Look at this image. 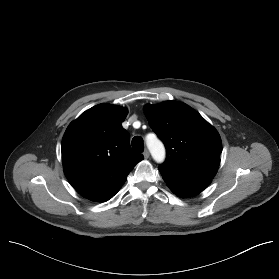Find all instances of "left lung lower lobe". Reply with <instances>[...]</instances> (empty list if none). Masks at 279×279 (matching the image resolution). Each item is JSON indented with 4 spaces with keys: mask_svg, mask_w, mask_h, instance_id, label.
I'll return each instance as SVG.
<instances>
[{
    "mask_svg": "<svg viewBox=\"0 0 279 279\" xmlns=\"http://www.w3.org/2000/svg\"><path fill=\"white\" fill-rule=\"evenodd\" d=\"M158 168L170 189L180 197L194 196L204 190L211 183V180L190 178L171 172L162 167Z\"/></svg>",
    "mask_w": 279,
    "mask_h": 279,
    "instance_id": "left-lung-lower-lobe-1",
    "label": "left lung lower lobe"
}]
</instances>
